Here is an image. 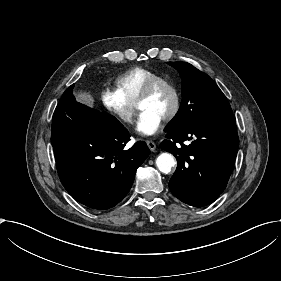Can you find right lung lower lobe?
Listing matches in <instances>:
<instances>
[{"label": "right lung lower lobe", "mask_w": 281, "mask_h": 281, "mask_svg": "<svg viewBox=\"0 0 281 281\" xmlns=\"http://www.w3.org/2000/svg\"><path fill=\"white\" fill-rule=\"evenodd\" d=\"M73 88L63 93L52 119L57 171L74 199L105 210L127 195L150 151L143 141L125 150L128 130L112 115L78 103Z\"/></svg>", "instance_id": "98d812e1"}]
</instances>
